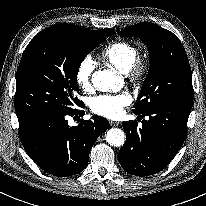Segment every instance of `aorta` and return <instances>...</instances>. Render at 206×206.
I'll return each instance as SVG.
<instances>
[{
    "mask_svg": "<svg viewBox=\"0 0 206 206\" xmlns=\"http://www.w3.org/2000/svg\"><path fill=\"white\" fill-rule=\"evenodd\" d=\"M92 84L99 91L114 89L120 79L112 70L95 71L92 75ZM125 134L121 129L111 128L107 131L106 141L114 147H120L125 142Z\"/></svg>",
    "mask_w": 206,
    "mask_h": 206,
    "instance_id": "762f6f07",
    "label": "aorta"
}]
</instances>
